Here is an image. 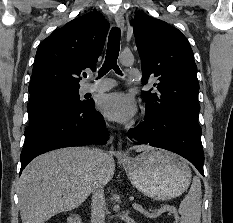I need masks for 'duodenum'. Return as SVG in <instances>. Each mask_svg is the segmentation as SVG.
Segmentation results:
<instances>
[{
    "label": "duodenum",
    "instance_id": "1",
    "mask_svg": "<svg viewBox=\"0 0 233 223\" xmlns=\"http://www.w3.org/2000/svg\"><path fill=\"white\" fill-rule=\"evenodd\" d=\"M68 223H82L81 219L76 214H71L67 220Z\"/></svg>",
    "mask_w": 233,
    "mask_h": 223
}]
</instances>
